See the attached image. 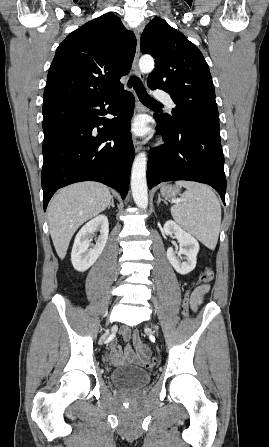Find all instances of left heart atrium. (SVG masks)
I'll return each mask as SVG.
<instances>
[{
	"label": "left heart atrium",
	"instance_id": "1",
	"mask_svg": "<svg viewBox=\"0 0 269 447\" xmlns=\"http://www.w3.org/2000/svg\"><path fill=\"white\" fill-rule=\"evenodd\" d=\"M132 131L138 135H143L148 131L146 123L141 116H136L131 123Z\"/></svg>",
	"mask_w": 269,
	"mask_h": 447
}]
</instances>
